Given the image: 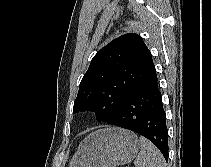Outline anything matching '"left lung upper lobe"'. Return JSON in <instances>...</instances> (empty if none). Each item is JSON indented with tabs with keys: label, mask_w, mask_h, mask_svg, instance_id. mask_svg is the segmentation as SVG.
Instances as JSON below:
<instances>
[{
	"label": "left lung upper lobe",
	"mask_w": 211,
	"mask_h": 167,
	"mask_svg": "<svg viewBox=\"0 0 211 167\" xmlns=\"http://www.w3.org/2000/svg\"><path fill=\"white\" fill-rule=\"evenodd\" d=\"M156 72L143 39L124 34L97 52L82 78L73 113L93 111L98 121L108 122L135 91Z\"/></svg>",
	"instance_id": "obj_1"
}]
</instances>
